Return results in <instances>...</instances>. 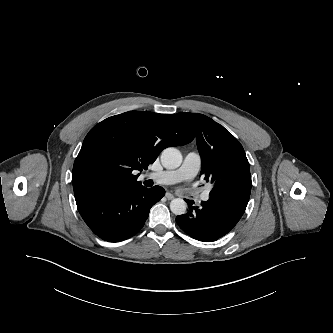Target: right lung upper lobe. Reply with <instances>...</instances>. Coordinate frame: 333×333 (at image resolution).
<instances>
[{
  "label": "right lung upper lobe",
  "mask_w": 333,
  "mask_h": 333,
  "mask_svg": "<svg viewBox=\"0 0 333 333\" xmlns=\"http://www.w3.org/2000/svg\"><path fill=\"white\" fill-rule=\"evenodd\" d=\"M193 139L189 125L175 114L129 111L109 117L83 141L73 166L74 195L94 188L141 187L133 172L147 169L166 147Z\"/></svg>",
  "instance_id": "right-lung-upper-lobe-1"
}]
</instances>
